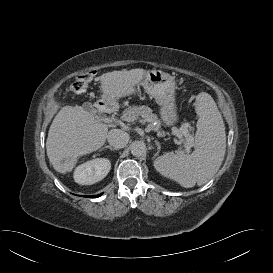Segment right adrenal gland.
Segmentation results:
<instances>
[{"label": "right adrenal gland", "instance_id": "1", "mask_svg": "<svg viewBox=\"0 0 273 273\" xmlns=\"http://www.w3.org/2000/svg\"><path fill=\"white\" fill-rule=\"evenodd\" d=\"M106 148L110 149L111 151L117 150L116 148H113V147H111L110 145H106V146H104V147L101 149V151H103V150L106 149Z\"/></svg>", "mask_w": 273, "mask_h": 273}]
</instances>
